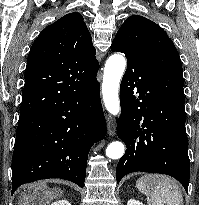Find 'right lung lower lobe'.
<instances>
[{
    "label": "right lung lower lobe",
    "mask_w": 199,
    "mask_h": 205,
    "mask_svg": "<svg viewBox=\"0 0 199 205\" xmlns=\"http://www.w3.org/2000/svg\"><path fill=\"white\" fill-rule=\"evenodd\" d=\"M105 134L97 79L19 120L12 158V194L22 184L48 178L84 187L89 150Z\"/></svg>",
    "instance_id": "right-lung-lower-lobe-1"
}]
</instances>
